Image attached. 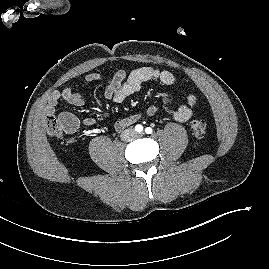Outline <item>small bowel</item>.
<instances>
[{
	"mask_svg": "<svg viewBox=\"0 0 269 269\" xmlns=\"http://www.w3.org/2000/svg\"><path fill=\"white\" fill-rule=\"evenodd\" d=\"M158 81L163 85L172 86L176 83L175 76L167 71L160 70L152 67H140L132 70L131 72H126L124 69H119L116 73L106 81V86L104 89V97L107 100H112L115 103H122L129 96L138 92L141 86L148 81ZM83 81L87 83L104 81V78L99 73H88L83 77ZM60 100H63L73 106L81 107L84 105V98L77 93L72 85L65 87L62 91H53L49 98L46 106V112L48 114H53L55 112L56 106ZM196 96L194 94H189L185 101L182 102L174 113V120L180 123L187 122L193 115V107L196 104ZM157 112L155 106H149L146 110L147 115L153 116ZM141 118L140 113H133L125 118L118 120L114 128L116 131L120 132L138 122ZM76 124L78 126L77 119ZM94 118H86L83 121L85 126H92L95 124Z\"/></svg>",
	"mask_w": 269,
	"mask_h": 269,
	"instance_id": "1",
	"label": "small bowel"
}]
</instances>
